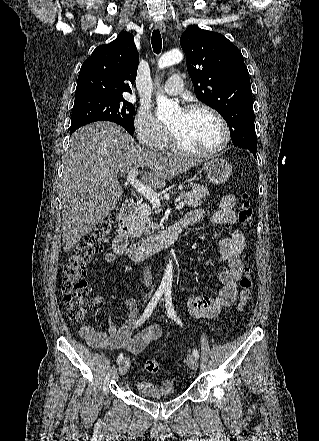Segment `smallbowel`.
<instances>
[{"label":"small bowel","instance_id":"small-bowel-1","mask_svg":"<svg viewBox=\"0 0 319 441\" xmlns=\"http://www.w3.org/2000/svg\"><path fill=\"white\" fill-rule=\"evenodd\" d=\"M235 204L236 198L234 195L223 196L219 202L218 210L210 217V222L213 224L235 225L238 221L234 210ZM203 216V209H195L189 212L181 222L185 228L199 222ZM244 247V234L237 228L220 241L218 260L220 263L226 264L218 275L222 288L214 297L201 294L189 298L187 307L193 318H214L235 302L238 291L237 282L241 278L243 270L241 253ZM116 258V255L108 254L106 260L114 262ZM93 300L95 304L101 305L104 302V297L101 294H96ZM123 304L126 306L128 313L121 326H116L112 318H109V324L105 331H97L90 325H83L79 329L81 337L95 348L120 349L123 347L134 354L140 353L149 344L160 338L162 330L155 324L149 325L140 333L133 335L134 323L137 317L136 301L132 297H127L123 300Z\"/></svg>","mask_w":319,"mask_h":441}]
</instances>
